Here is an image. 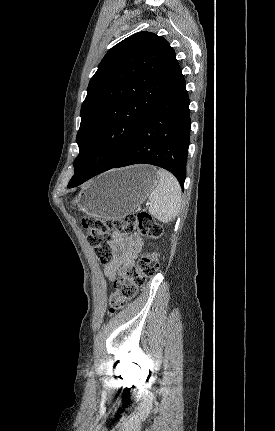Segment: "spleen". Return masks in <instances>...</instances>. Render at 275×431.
<instances>
[{
    "mask_svg": "<svg viewBox=\"0 0 275 431\" xmlns=\"http://www.w3.org/2000/svg\"><path fill=\"white\" fill-rule=\"evenodd\" d=\"M158 185L149 195V213L163 223H169L177 216L181 205V187L168 171L159 169Z\"/></svg>",
    "mask_w": 275,
    "mask_h": 431,
    "instance_id": "3e777b00",
    "label": "spleen"
}]
</instances>
